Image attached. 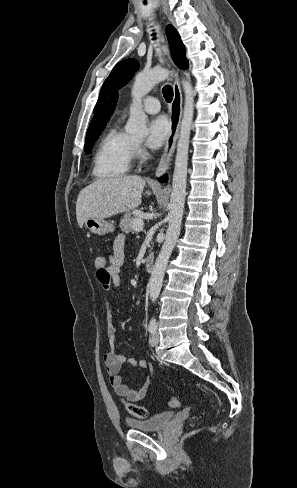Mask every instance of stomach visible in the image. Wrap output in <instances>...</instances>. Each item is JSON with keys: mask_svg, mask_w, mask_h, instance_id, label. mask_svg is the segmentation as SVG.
Instances as JSON below:
<instances>
[{"mask_svg": "<svg viewBox=\"0 0 297 488\" xmlns=\"http://www.w3.org/2000/svg\"><path fill=\"white\" fill-rule=\"evenodd\" d=\"M85 226L90 232L98 235H105L113 232L115 229V226L111 222L106 221L105 219L92 217L85 220Z\"/></svg>", "mask_w": 297, "mask_h": 488, "instance_id": "0dacf381", "label": "stomach"}]
</instances>
